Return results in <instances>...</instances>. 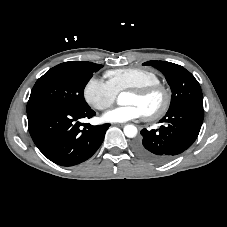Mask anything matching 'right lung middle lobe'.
Returning <instances> with one entry per match:
<instances>
[{
  "label": "right lung middle lobe",
  "mask_w": 227,
  "mask_h": 227,
  "mask_svg": "<svg viewBox=\"0 0 227 227\" xmlns=\"http://www.w3.org/2000/svg\"><path fill=\"white\" fill-rule=\"evenodd\" d=\"M101 67L92 62L69 61L51 68L35 83L27 111L43 105L87 108L83 96L85 84Z\"/></svg>",
  "instance_id": "dd1d6c3e"
}]
</instances>
